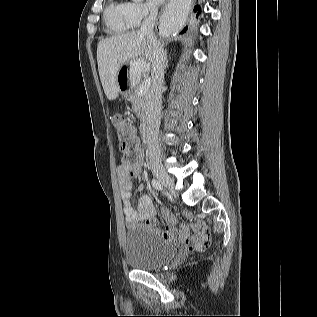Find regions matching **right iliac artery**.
<instances>
[{
    "label": "right iliac artery",
    "mask_w": 317,
    "mask_h": 317,
    "mask_svg": "<svg viewBox=\"0 0 317 317\" xmlns=\"http://www.w3.org/2000/svg\"><path fill=\"white\" fill-rule=\"evenodd\" d=\"M151 184L156 190H158V191L163 190V186L161 185L160 181H158L156 179H152Z\"/></svg>",
    "instance_id": "obj_1"
}]
</instances>
